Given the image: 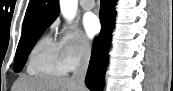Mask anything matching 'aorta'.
I'll return each instance as SVG.
<instances>
[{
	"instance_id": "1",
	"label": "aorta",
	"mask_w": 173,
	"mask_h": 91,
	"mask_svg": "<svg viewBox=\"0 0 173 91\" xmlns=\"http://www.w3.org/2000/svg\"><path fill=\"white\" fill-rule=\"evenodd\" d=\"M78 6V0H60V9L64 17L74 18Z\"/></svg>"
}]
</instances>
